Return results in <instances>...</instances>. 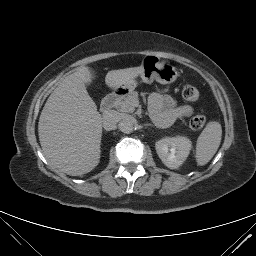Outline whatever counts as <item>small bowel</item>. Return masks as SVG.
Returning <instances> with one entry per match:
<instances>
[{
	"instance_id": "1",
	"label": "small bowel",
	"mask_w": 256,
	"mask_h": 256,
	"mask_svg": "<svg viewBox=\"0 0 256 256\" xmlns=\"http://www.w3.org/2000/svg\"><path fill=\"white\" fill-rule=\"evenodd\" d=\"M192 112L191 106L178 105L171 96L154 93L150 97V113L158 126H169L178 118L190 116Z\"/></svg>"
}]
</instances>
